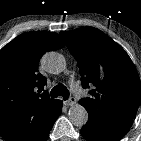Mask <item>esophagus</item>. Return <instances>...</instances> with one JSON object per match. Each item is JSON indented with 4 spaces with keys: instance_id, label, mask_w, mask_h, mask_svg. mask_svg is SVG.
Segmentation results:
<instances>
[{
    "instance_id": "34e87169",
    "label": "esophagus",
    "mask_w": 141,
    "mask_h": 141,
    "mask_svg": "<svg viewBox=\"0 0 141 141\" xmlns=\"http://www.w3.org/2000/svg\"><path fill=\"white\" fill-rule=\"evenodd\" d=\"M77 102L75 97H70L65 103L67 106H73L75 105Z\"/></svg>"
}]
</instances>
